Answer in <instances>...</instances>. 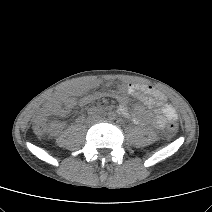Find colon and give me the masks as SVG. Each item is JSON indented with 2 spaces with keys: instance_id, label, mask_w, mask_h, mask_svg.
I'll return each mask as SVG.
<instances>
[{
  "instance_id": "colon-1",
  "label": "colon",
  "mask_w": 212,
  "mask_h": 212,
  "mask_svg": "<svg viewBox=\"0 0 212 212\" xmlns=\"http://www.w3.org/2000/svg\"><path fill=\"white\" fill-rule=\"evenodd\" d=\"M167 129H168V132H169V133L174 134V133H176L177 130H178V125H177V123H175V122H170V123L168 124ZM33 130H34V132H35L37 135H40V136H41V135H45V134L48 133V131H49V126H48V124H47L45 121H43V120H38V121H36V122L34 123V125H33Z\"/></svg>"
}]
</instances>
